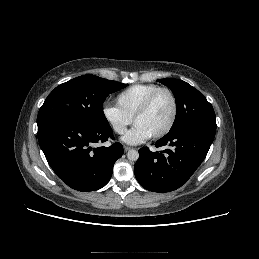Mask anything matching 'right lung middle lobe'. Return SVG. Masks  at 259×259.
I'll use <instances>...</instances> for the list:
<instances>
[{"label": "right lung middle lobe", "mask_w": 259, "mask_h": 259, "mask_svg": "<svg viewBox=\"0 0 259 259\" xmlns=\"http://www.w3.org/2000/svg\"><path fill=\"white\" fill-rule=\"evenodd\" d=\"M128 84L94 75H83L56 87L37 116L38 127L57 119H73L94 126L109 125L104 112L106 97Z\"/></svg>", "instance_id": "obj_1"}]
</instances>
